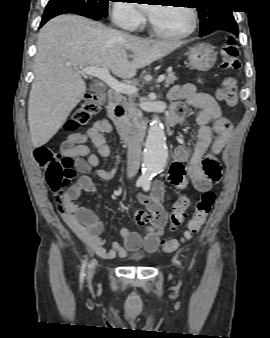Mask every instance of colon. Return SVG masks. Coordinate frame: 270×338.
Segmentation results:
<instances>
[{
    "mask_svg": "<svg viewBox=\"0 0 270 338\" xmlns=\"http://www.w3.org/2000/svg\"><path fill=\"white\" fill-rule=\"evenodd\" d=\"M221 52L224 57L223 67L230 70H237L240 68L239 50L236 39L232 36L223 40L221 45ZM219 98L223 100L228 106H235L237 104L236 81L233 77L227 78L219 88ZM106 103V97L103 93L87 94L81 104L74 111L69 126L76 128L88 122V120L97 114ZM229 122L226 118H222L217 122V128L220 131L226 130L229 127ZM35 160L45 171V179L47 186L53 193H60L69 182L74 178L75 172L73 170L74 161L71 157L66 156L60 158L50 148L42 146L35 150ZM204 171L215 179L219 177L220 168L217 162L206 157L202 162ZM215 201V194L212 191H206L201 195L197 201L196 208L192 214L187 228L184 232V238L190 239L197 234L202 225L205 223L212 206ZM189 206V201L186 197H179L170 211V221L173 229H175L185 218V211ZM150 219L148 213H142L139 218V223L144 224ZM178 246V241L175 239H164L161 243L162 251L170 253Z\"/></svg>",
    "mask_w": 270,
    "mask_h": 338,
    "instance_id": "5ec220e1",
    "label": "colon"
}]
</instances>
